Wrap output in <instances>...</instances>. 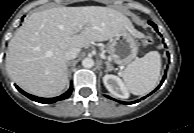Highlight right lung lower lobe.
<instances>
[{
  "instance_id": "98d812e1",
  "label": "right lung lower lobe",
  "mask_w": 194,
  "mask_h": 133,
  "mask_svg": "<svg viewBox=\"0 0 194 133\" xmlns=\"http://www.w3.org/2000/svg\"><path fill=\"white\" fill-rule=\"evenodd\" d=\"M16 88L22 94H24L25 96H27L31 100L39 102V103H45V104H50V103H54L56 101L64 100V99L68 98L70 96L71 92H72V87H70L69 90L66 93L62 94L61 96L54 97V98H41V97H36V96L30 95V94L24 92L18 86H16Z\"/></svg>"
}]
</instances>
